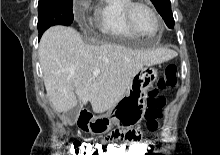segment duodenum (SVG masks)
Returning <instances> with one entry per match:
<instances>
[{
  "label": "duodenum",
  "mask_w": 220,
  "mask_h": 155,
  "mask_svg": "<svg viewBox=\"0 0 220 155\" xmlns=\"http://www.w3.org/2000/svg\"><path fill=\"white\" fill-rule=\"evenodd\" d=\"M93 118L94 116L89 110L82 109L78 116V124L89 125L92 122Z\"/></svg>",
  "instance_id": "1"
}]
</instances>
